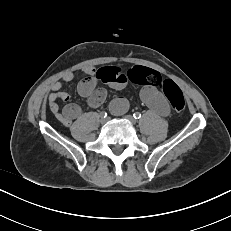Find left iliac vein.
I'll return each instance as SVG.
<instances>
[{"label": "left iliac vein", "instance_id": "obj_1", "mask_svg": "<svg viewBox=\"0 0 231 231\" xmlns=\"http://www.w3.org/2000/svg\"><path fill=\"white\" fill-rule=\"evenodd\" d=\"M125 119H126L130 124H132V125H134V124L136 123V120H135L134 117L131 116V115L125 116Z\"/></svg>", "mask_w": 231, "mask_h": 231}]
</instances>
